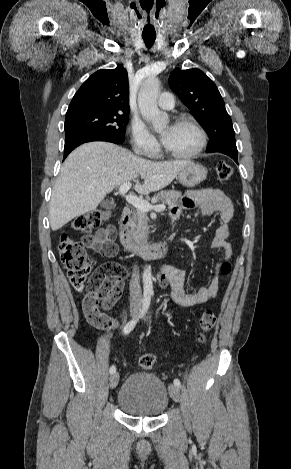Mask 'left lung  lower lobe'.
I'll return each instance as SVG.
<instances>
[{
    "mask_svg": "<svg viewBox=\"0 0 291 469\" xmlns=\"http://www.w3.org/2000/svg\"><path fill=\"white\" fill-rule=\"evenodd\" d=\"M208 153L211 152H220L223 154H226L230 156L237 164H238V159H237V149H232V148H220L212 151H207Z\"/></svg>",
    "mask_w": 291,
    "mask_h": 469,
    "instance_id": "1",
    "label": "left lung lower lobe"
}]
</instances>
